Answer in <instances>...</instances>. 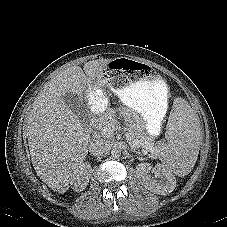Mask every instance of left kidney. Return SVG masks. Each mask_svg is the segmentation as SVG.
<instances>
[{"label":"left kidney","mask_w":227,"mask_h":227,"mask_svg":"<svg viewBox=\"0 0 227 227\" xmlns=\"http://www.w3.org/2000/svg\"><path fill=\"white\" fill-rule=\"evenodd\" d=\"M136 175L141 184L152 193L167 195L176 187V178L172 171L163 164L154 167L149 163H140Z\"/></svg>","instance_id":"left-kidney-1"}]
</instances>
